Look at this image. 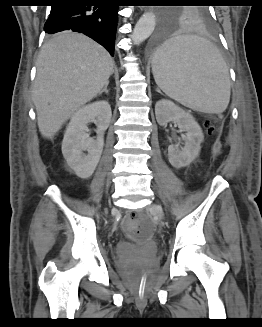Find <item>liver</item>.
I'll return each instance as SVG.
<instances>
[{
	"label": "liver",
	"mask_w": 262,
	"mask_h": 327,
	"mask_svg": "<svg viewBox=\"0 0 262 327\" xmlns=\"http://www.w3.org/2000/svg\"><path fill=\"white\" fill-rule=\"evenodd\" d=\"M114 61L89 37L64 32L42 47L33 88L38 128L51 139L84 104L109 83Z\"/></svg>",
	"instance_id": "1"
}]
</instances>
